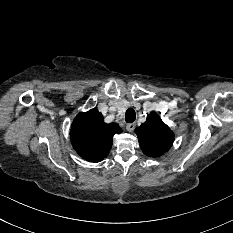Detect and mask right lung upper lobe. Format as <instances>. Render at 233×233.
<instances>
[{
	"mask_svg": "<svg viewBox=\"0 0 233 233\" xmlns=\"http://www.w3.org/2000/svg\"><path fill=\"white\" fill-rule=\"evenodd\" d=\"M122 130L116 123L106 124L96 109L78 114L71 126L70 140L76 152L85 160L102 161L112 147L113 136Z\"/></svg>",
	"mask_w": 233,
	"mask_h": 233,
	"instance_id": "cb5924a9",
	"label": "right lung upper lobe"
}]
</instances>
